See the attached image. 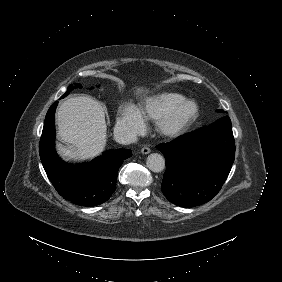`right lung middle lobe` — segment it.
<instances>
[{
	"mask_svg": "<svg viewBox=\"0 0 282 282\" xmlns=\"http://www.w3.org/2000/svg\"><path fill=\"white\" fill-rule=\"evenodd\" d=\"M80 85L79 84H77L76 86H73L72 84L68 87V90L66 91V93L64 94V96H67L69 93H70V91H72L74 88H77V87H79Z\"/></svg>",
	"mask_w": 282,
	"mask_h": 282,
	"instance_id": "obj_1",
	"label": "right lung middle lobe"
}]
</instances>
